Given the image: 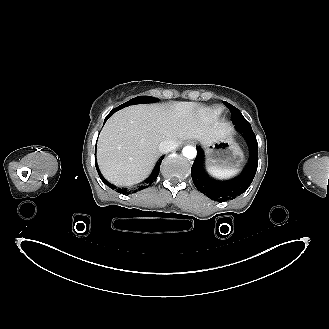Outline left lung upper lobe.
Returning <instances> with one entry per match:
<instances>
[{"label": "left lung upper lobe", "instance_id": "obj_1", "mask_svg": "<svg viewBox=\"0 0 329 329\" xmlns=\"http://www.w3.org/2000/svg\"><path fill=\"white\" fill-rule=\"evenodd\" d=\"M225 105L229 108V110L231 111V114H232V122L237 125V124H241V123H244V122H248L244 117L243 115L241 114V112L236 108L234 107L233 105H231L230 103L228 102H224Z\"/></svg>", "mask_w": 329, "mask_h": 329}]
</instances>
